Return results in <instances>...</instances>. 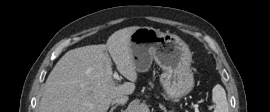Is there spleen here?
<instances>
[{"instance_id":"obj_1","label":"spleen","mask_w":270,"mask_h":112,"mask_svg":"<svg viewBox=\"0 0 270 112\" xmlns=\"http://www.w3.org/2000/svg\"><path fill=\"white\" fill-rule=\"evenodd\" d=\"M212 100L215 103L213 112H229L226 92L224 88L217 84L212 90Z\"/></svg>"}]
</instances>
